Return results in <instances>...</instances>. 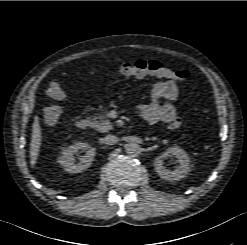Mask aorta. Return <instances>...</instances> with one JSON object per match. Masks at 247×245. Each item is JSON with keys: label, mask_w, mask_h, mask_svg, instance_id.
Returning <instances> with one entry per match:
<instances>
[{"label": "aorta", "mask_w": 247, "mask_h": 245, "mask_svg": "<svg viewBox=\"0 0 247 245\" xmlns=\"http://www.w3.org/2000/svg\"><path fill=\"white\" fill-rule=\"evenodd\" d=\"M142 149L137 143H130L126 146V153L130 157H137L140 155Z\"/></svg>", "instance_id": "1"}]
</instances>
